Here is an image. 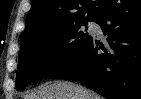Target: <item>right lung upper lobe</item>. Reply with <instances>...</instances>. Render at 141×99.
<instances>
[{
	"label": "right lung upper lobe",
	"instance_id": "right-lung-upper-lobe-1",
	"mask_svg": "<svg viewBox=\"0 0 141 99\" xmlns=\"http://www.w3.org/2000/svg\"><path fill=\"white\" fill-rule=\"evenodd\" d=\"M115 0H32L21 45L63 28L97 20Z\"/></svg>",
	"mask_w": 141,
	"mask_h": 99
}]
</instances>
